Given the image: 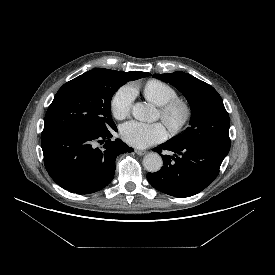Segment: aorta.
Instances as JSON below:
<instances>
[{
	"label": "aorta",
	"mask_w": 275,
	"mask_h": 275,
	"mask_svg": "<svg viewBox=\"0 0 275 275\" xmlns=\"http://www.w3.org/2000/svg\"><path fill=\"white\" fill-rule=\"evenodd\" d=\"M132 115L139 121H152L156 118V109L148 103L138 102L132 107ZM143 165L148 172H158L162 165L163 160L156 152H150L145 155Z\"/></svg>",
	"instance_id": "obj_1"
}]
</instances>
